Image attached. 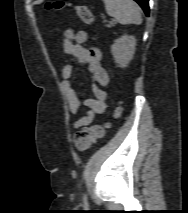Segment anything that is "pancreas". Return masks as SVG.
Listing matches in <instances>:
<instances>
[{"mask_svg": "<svg viewBox=\"0 0 188 213\" xmlns=\"http://www.w3.org/2000/svg\"><path fill=\"white\" fill-rule=\"evenodd\" d=\"M114 24H115V23L110 22V23L107 25V27H112V26H114Z\"/></svg>", "mask_w": 188, "mask_h": 213, "instance_id": "pancreas-1", "label": "pancreas"}]
</instances>
